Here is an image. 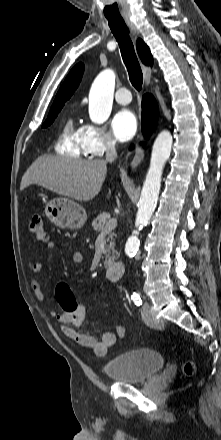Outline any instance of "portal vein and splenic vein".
<instances>
[{
  "label": "portal vein and splenic vein",
  "instance_id": "portal-vein-and-splenic-vein-1",
  "mask_svg": "<svg viewBox=\"0 0 221 440\" xmlns=\"http://www.w3.org/2000/svg\"><path fill=\"white\" fill-rule=\"evenodd\" d=\"M117 226V219L116 218H112L109 220L108 225L106 226L105 232H109L112 229L116 228Z\"/></svg>",
  "mask_w": 221,
  "mask_h": 440
}]
</instances>
